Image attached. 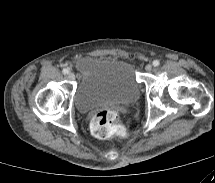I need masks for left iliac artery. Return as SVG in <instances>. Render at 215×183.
Listing matches in <instances>:
<instances>
[{"label":"left iliac artery","mask_w":215,"mask_h":183,"mask_svg":"<svg viewBox=\"0 0 215 183\" xmlns=\"http://www.w3.org/2000/svg\"><path fill=\"white\" fill-rule=\"evenodd\" d=\"M152 64L154 67H157L159 66L160 62L158 60H154Z\"/></svg>","instance_id":"obj_1"}]
</instances>
